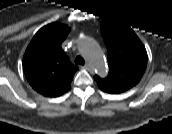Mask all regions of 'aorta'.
<instances>
[{"mask_svg":"<svg viewBox=\"0 0 172 134\" xmlns=\"http://www.w3.org/2000/svg\"><path fill=\"white\" fill-rule=\"evenodd\" d=\"M83 52L90 67L98 75L102 77L106 76L108 69L100 46L93 40H84Z\"/></svg>","mask_w":172,"mask_h":134,"instance_id":"1","label":"aorta"}]
</instances>
